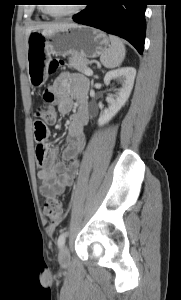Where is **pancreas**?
<instances>
[{"mask_svg": "<svg viewBox=\"0 0 181 300\" xmlns=\"http://www.w3.org/2000/svg\"><path fill=\"white\" fill-rule=\"evenodd\" d=\"M88 63H89L88 60L83 59L77 55H72L69 58L70 66H72L74 69H76L81 73H85V71L88 69L87 67Z\"/></svg>", "mask_w": 181, "mask_h": 300, "instance_id": "cf45deb5", "label": "pancreas"}]
</instances>
